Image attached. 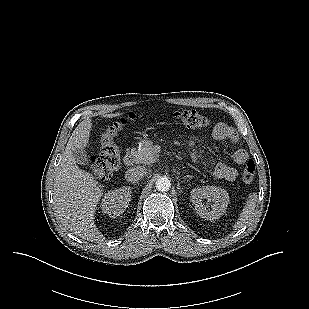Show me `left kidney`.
Returning <instances> with one entry per match:
<instances>
[{"label":"left kidney","instance_id":"left-kidney-1","mask_svg":"<svg viewBox=\"0 0 309 309\" xmlns=\"http://www.w3.org/2000/svg\"><path fill=\"white\" fill-rule=\"evenodd\" d=\"M203 199L213 202L211 209L204 206L202 203ZM191 202L195 207L196 213L201 218L215 221L225 213L229 202V195L227 191L215 186L195 188L191 191Z\"/></svg>","mask_w":309,"mask_h":309}]
</instances>
